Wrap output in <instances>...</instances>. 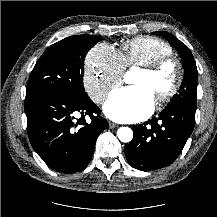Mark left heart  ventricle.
<instances>
[{"label": "left heart ventricle", "mask_w": 217, "mask_h": 217, "mask_svg": "<svg viewBox=\"0 0 217 217\" xmlns=\"http://www.w3.org/2000/svg\"><path fill=\"white\" fill-rule=\"evenodd\" d=\"M172 73L169 68L164 69L158 76L153 77L143 71L132 80L134 86L147 88L155 97L158 93L166 91L172 83Z\"/></svg>", "instance_id": "1"}]
</instances>
